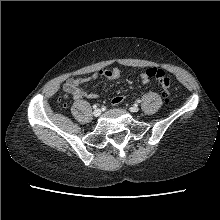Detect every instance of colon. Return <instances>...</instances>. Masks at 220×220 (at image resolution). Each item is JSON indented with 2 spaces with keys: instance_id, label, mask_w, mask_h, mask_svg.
Segmentation results:
<instances>
[{
  "instance_id": "colon-1",
  "label": "colon",
  "mask_w": 220,
  "mask_h": 220,
  "mask_svg": "<svg viewBox=\"0 0 220 220\" xmlns=\"http://www.w3.org/2000/svg\"><path fill=\"white\" fill-rule=\"evenodd\" d=\"M145 75L148 78H155L159 82V84L163 89V94L166 100H169L171 98V94H170L171 79L164 73V71L158 68L151 67L146 69ZM64 100H66V96H64Z\"/></svg>"
}]
</instances>
